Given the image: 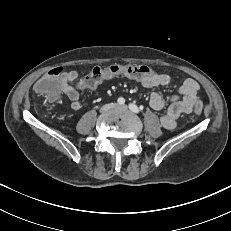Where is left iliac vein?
Here are the masks:
<instances>
[{
    "label": "left iliac vein",
    "instance_id": "obj_1",
    "mask_svg": "<svg viewBox=\"0 0 231 231\" xmlns=\"http://www.w3.org/2000/svg\"><path fill=\"white\" fill-rule=\"evenodd\" d=\"M114 108L120 109V110H128V107L126 105H116Z\"/></svg>",
    "mask_w": 231,
    "mask_h": 231
}]
</instances>
